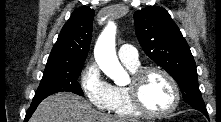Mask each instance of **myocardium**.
<instances>
[{
  "mask_svg": "<svg viewBox=\"0 0 221 122\" xmlns=\"http://www.w3.org/2000/svg\"><path fill=\"white\" fill-rule=\"evenodd\" d=\"M152 73H158L162 75L170 84L173 92L172 105L165 111L155 112L150 110L143 102L140 94V88L143 80ZM128 95L134 108L143 115L161 118L171 115L179 106L180 103V91L176 80L166 70L160 67H146L135 71L132 75L130 84L127 86Z\"/></svg>",
  "mask_w": 221,
  "mask_h": 122,
  "instance_id": "1",
  "label": "myocardium"
}]
</instances>
